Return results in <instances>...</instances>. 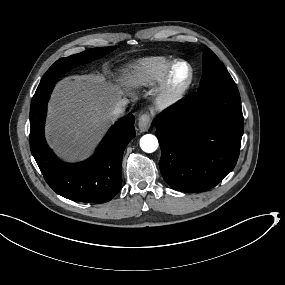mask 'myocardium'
Returning a JSON list of instances; mask_svg holds the SVG:
<instances>
[{
  "label": "myocardium",
  "mask_w": 285,
  "mask_h": 285,
  "mask_svg": "<svg viewBox=\"0 0 285 285\" xmlns=\"http://www.w3.org/2000/svg\"><path fill=\"white\" fill-rule=\"evenodd\" d=\"M191 81V72L182 77L174 68L170 69L150 98L151 106L161 110L178 103L186 93Z\"/></svg>",
  "instance_id": "f54148a6"
}]
</instances>
